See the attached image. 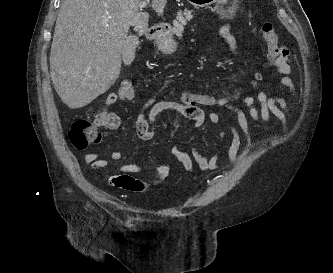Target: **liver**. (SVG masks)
<instances>
[{"label": "liver", "mask_w": 333, "mask_h": 273, "mask_svg": "<svg viewBox=\"0 0 333 273\" xmlns=\"http://www.w3.org/2000/svg\"><path fill=\"white\" fill-rule=\"evenodd\" d=\"M144 0H63L50 52L52 84L71 109L82 108L118 79L129 28L139 35L149 14L139 12ZM167 0H152L163 15Z\"/></svg>", "instance_id": "obj_1"}]
</instances>
